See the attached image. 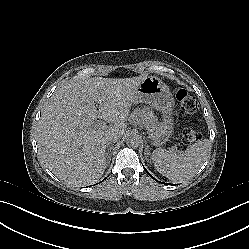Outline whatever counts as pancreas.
Segmentation results:
<instances>
[{"label":"pancreas","mask_w":249,"mask_h":249,"mask_svg":"<svg viewBox=\"0 0 249 249\" xmlns=\"http://www.w3.org/2000/svg\"><path fill=\"white\" fill-rule=\"evenodd\" d=\"M132 118L137 120L146 129L153 133V135H159L161 129V123L158 122L157 117L154 115L153 111L149 108H136L132 113Z\"/></svg>","instance_id":"obj_1"}]
</instances>
